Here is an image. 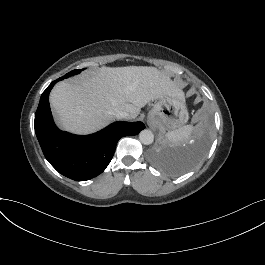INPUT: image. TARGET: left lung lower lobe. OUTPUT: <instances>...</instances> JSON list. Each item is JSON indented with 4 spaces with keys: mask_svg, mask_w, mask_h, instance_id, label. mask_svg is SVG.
Segmentation results:
<instances>
[{
    "mask_svg": "<svg viewBox=\"0 0 265 265\" xmlns=\"http://www.w3.org/2000/svg\"><path fill=\"white\" fill-rule=\"evenodd\" d=\"M209 128L203 129L195 139L181 146H163L152 150L149 159L153 165L172 175L183 174L195 167L209 146Z\"/></svg>",
    "mask_w": 265,
    "mask_h": 265,
    "instance_id": "left-lung-lower-lobe-1",
    "label": "left lung lower lobe"
}]
</instances>
